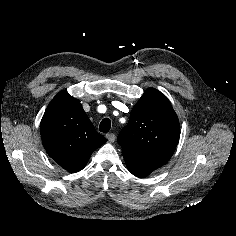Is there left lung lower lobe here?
<instances>
[{"label":"left lung lower lobe","instance_id":"0a47b994","mask_svg":"<svg viewBox=\"0 0 236 236\" xmlns=\"http://www.w3.org/2000/svg\"><path fill=\"white\" fill-rule=\"evenodd\" d=\"M128 170L137 177H145L160 168L159 166L137 161L133 158L124 157Z\"/></svg>","mask_w":236,"mask_h":236}]
</instances>
